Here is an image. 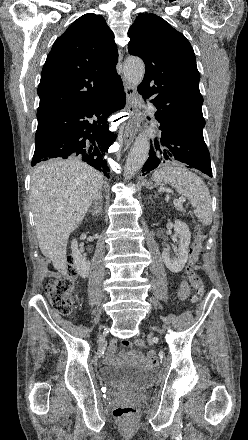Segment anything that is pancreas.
I'll list each match as a JSON object with an SVG mask.
<instances>
[{
    "label": "pancreas",
    "instance_id": "1",
    "mask_svg": "<svg viewBox=\"0 0 248 440\" xmlns=\"http://www.w3.org/2000/svg\"><path fill=\"white\" fill-rule=\"evenodd\" d=\"M175 207L178 211L182 212L183 214L186 212L185 209L183 208L182 204L175 205Z\"/></svg>",
    "mask_w": 248,
    "mask_h": 440
}]
</instances>
